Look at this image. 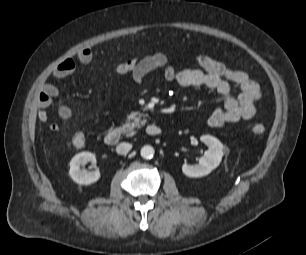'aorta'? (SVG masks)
<instances>
[{"label":"aorta","instance_id":"762f6f07","mask_svg":"<svg viewBox=\"0 0 306 255\" xmlns=\"http://www.w3.org/2000/svg\"><path fill=\"white\" fill-rule=\"evenodd\" d=\"M154 153H155V150L150 145H145L140 150V154H141L142 158H144V159H151V158H153Z\"/></svg>","mask_w":306,"mask_h":255}]
</instances>
